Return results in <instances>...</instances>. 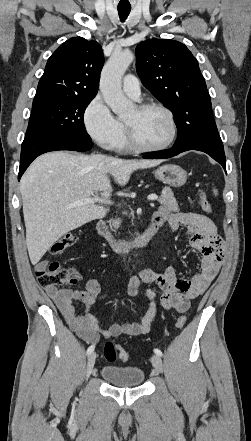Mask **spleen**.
I'll use <instances>...</instances> for the list:
<instances>
[{
    "label": "spleen",
    "instance_id": "3e777b00",
    "mask_svg": "<svg viewBox=\"0 0 251 441\" xmlns=\"http://www.w3.org/2000/svg\"><path fill=\"white\" fill-rule=\"evenodd\" d=\"M213 191H214V194H215V195H217V194H218V192H217V190H216V189H214Z\"/></svg>",
    "mask_w": 251,
    "mask_h": 441
}]
</instances>
